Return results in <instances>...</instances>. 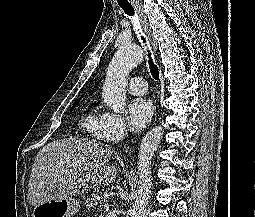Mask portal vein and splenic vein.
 I'll use <instances>...</instances> for the list:
<instances>
[{
  "label": "portal vein and splenic vein",
  "instance_id": "obj_1",
  "mask_svg": "<svg viewBox=\"0 0 255 217\" xmlns=\"http://www.w3.org/2000/svg\"><path fill=\"white\" fill-rule=\"evenodd\" d=\"M104 208H109V204L106 203V204L104 205Z\"/></svg>",
  "mask_w": 255,
  "mask_h": 217
}]
</instances>
